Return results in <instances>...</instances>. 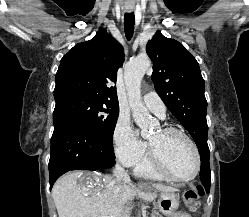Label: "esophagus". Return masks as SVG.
I'll return each mask as SVG.
<instances>
[{"label":"esophagus","mask_w":249,"mask_h":217,"mask_svg":"<svg viewBox=\"0 0 249 217\" xmlns=\"http://www.w3.org/2000/svg\"><path fill=\"white\" fill-rule=\"evenodd\" d=\"M126 11L128 13L132 12L133 11V7H131V6L126 7Z\"/></svg>","instance_id":"obj_1"}]
</instances>
